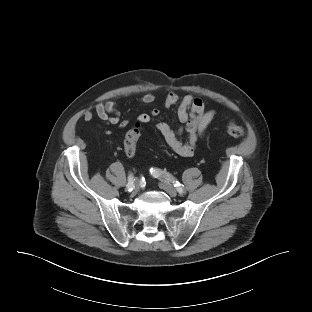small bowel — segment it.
Returning a JSON list of instances; mask_svg holds the SVG:
<instances>
[{"label":"small bowel","mask_w":312,"mask_h":312,"mask_svg":"<svg viewBox=\"0 0 312 312\" xmlns=\"http://www.w3.org/2000/svg\"><path fill=\"white\" fill-rule=\"evenodd\" d=\"M155 101V95L146 93L140 98L143 104H151ZM177 105V116L181 126L174 131L167 123L160 122L156 125L158 132L163 136L169 148L179 156L190 157L197 149L199 141L204 137L207 127L213 120L215 112L207 109V102L198 96L185 95L180 98L175 92H169L165 96V108H172ZM96 115L103 121L113 125H119L121 129L128 126L127 119H121V112L117 102H100L95 107ZM160 110L157 107L151 108L148 112L137 116L140 123H148L157 117ZM94 116L91 110L82 114L85 121H90ZM185 134L186 140L182 141L178 135Z\"/></svg>","instance_id":"1"}]
</instances>
